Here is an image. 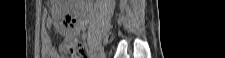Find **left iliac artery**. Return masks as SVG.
<instances>
[{"label": "left iliac artery", "mask_w": 225, "mask_h": 58, "mask_svg": "<svg viewBox=\"0 0 225 58\" xmlns=\"http://www.w3.org/2000/svg\"><path fill=\"white\" fill-rule=\"evenodd\" d=\"M93 56H94V53H93V52H91V58H93Z\"/></svg>", "instance_id": "obj_1"}]
</instances>
